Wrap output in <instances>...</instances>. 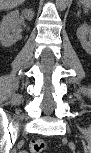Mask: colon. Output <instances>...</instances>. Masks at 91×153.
Wrapping results in <instances>:
<instances>
[{"mask_svg": "<svg viewBox=\"0 0 91 153\" xmlns=\"http://www.w3.org/2000/svg\"><path fill=\"white\" fill-rule=\"evenodd\" d=\"M48 149V142L45 139H34L30 143L31 153H42Z\"/></svg>", "mask_w": 91, "mask_h": 153, "instance_id": "1", "label": "colon"}]
</instances>
